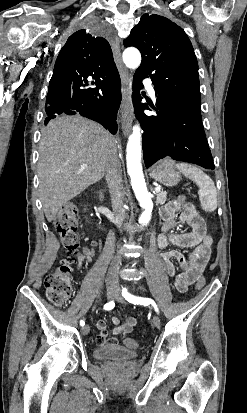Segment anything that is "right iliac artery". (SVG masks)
I'll use <instances>...</instances> for the list:
<instances>
[{"mask_svg":"<svg viewBox=\"0 0 247 413\" xmlns=\"http://www.w3.org/2000/svg\"><path fill=\"white\" fill-rule=\"evenodd\" d=\"M114 306H115L114 301H110V302H108L104 305V309L105 310H111V309L114 308ZM84 325H85L84 320H80V326H84Z\"/></svg>","mask_w":247,"mask_h":413,"instance_id":"1","label":"right iliac artery"}]
</instances>
